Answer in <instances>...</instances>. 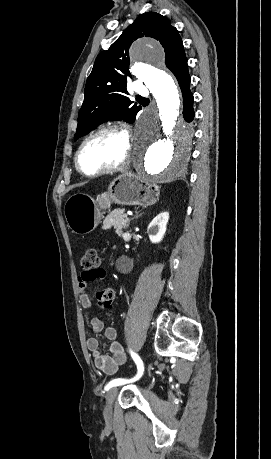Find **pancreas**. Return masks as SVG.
I'll use <instances>...</instances> for the list:
<instances>
[{"mask_svg":"<svg viewBox=\"0 0 271 459\" xmlns=\"http://www.w3.org/2000/svg\"><path fill=\"white\" fill-rule=\"evenodd\" d=\"M124 212L125 210H113V212L107 216L108 219L104 221L102 229L105 232H108L111 227L114 226L116 233H118V235H122V229L125 228L127 222V217H122Z\"/></svg>","mask_w":271,"mask_h":459,"instance_id":"1","label":"pancreas"}]
</instances>
